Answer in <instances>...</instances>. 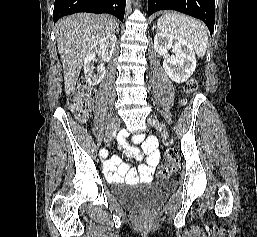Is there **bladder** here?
<instances>
[{"label":"bladder","mask_w":257,"mask_h":237,"mask_svg":"<svg viewBox=\"0 0 257 237\" xmlns=\"http://www.w3.org/2000/svg\"><path fill=\"white\" fill-rule=\"evenodd\" d=\"M165 193V185L157 183L144 190H130L119 198L131 207H153L160 202Z\"/></svg>","instance_id":"31cf9c89"}]
</instances>
